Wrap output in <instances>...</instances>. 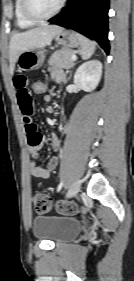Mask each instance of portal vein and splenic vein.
I'll return each mask as SVG.
<instances>
[{"label": "portal vein and splenic vein", "instance_id": "18ae733b", "mask_svg": "<svg viewBox=\"0 0 134 281\" xmlns=\"http://www.w3.org/2000/svg\"><path fill=\"white\" fill-rule=\"evenodd\" d=\"M71 59H72V61H76L77 60V56L74 54V55H72Z\"/></svg>", "mask_w": 134, "mask_h": 281}]
</instances>
